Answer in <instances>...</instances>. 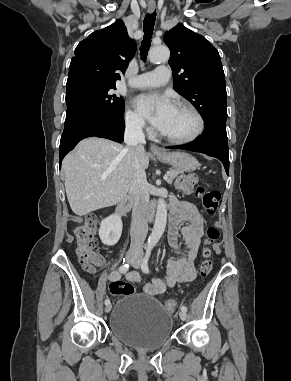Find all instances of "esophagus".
<instances>
[{
  "mask_svg": "<svg viewBox=\"0 0 291 381\" xmlns=\"http://www.w3.org/2000/svg\"><path fill=\"white\" fill-rule=\"evenodd\" d=\"M155 10V3H148V11L152 13ZM150 150L154 154L164 153L162 149H160L157 145L152 144L150 146Z\"/></svg>",
  "mask_w": 291,
  "mask_h": 381,
  "instance_id": "34e87169",
  "label": "esophagus"
}]
</instances>
